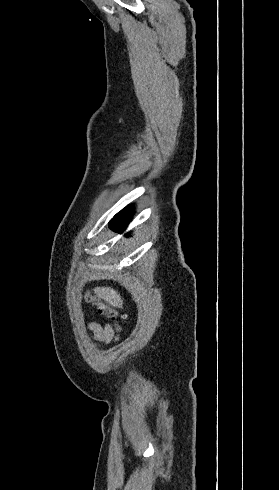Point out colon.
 Wrapping results in <instances>:
<instances>
[{
  "label": "colon",
  "mask_w": 279,
  "mask_h": 490,
  "mask_svg": "<svg viewBox=\"0 0 279 490\" xmlns=\"http://www.w3.org/2000/svg\"><path fill=\"white\" fill-rule=\"evenodd\" d=\"M88 300L95 306L96 314L98 316H106L111 320H117V317L120 316L115 308L106 302L101 301L96 296L89 294Z\"/></svg>",
  "instance_id": "colon-1"
}]
</instances>
